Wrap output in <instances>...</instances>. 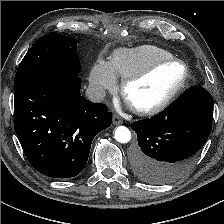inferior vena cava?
<instances>
[{
	"label": "inferior vena cava",
	"instance_id": "obj_1",
	"mask_svg": "<svg viewBox=\"0 0 224 224\" xmlns=\"http://www.w3.org/2000/svg\"><path fill=\"white\" fill-rule=\"evenodd\" d=\"M105 90L101 86L92 85L86 89V96L92 102H100L105 97Z\"/></svg>",
	"mask_w": 224,
	"mask_h": 224
}]
</instances>
